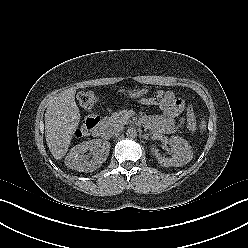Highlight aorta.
Returning <instances> with one entry per match:
<instances>
[{"label":"aorta","mask_w":248,"mask_h":248,"mask_svg":"<svg viewBox=\"0 0 248 248\" xmlns=\"http://www.w3.org/2000/svg\"><path fill=\"white\" fill-rule=\"evenodd\" d=\"M126 135L130 138H135L137 136V130L135 127L130 126L126 131Z\"/></svg>","instance_id":"aorta-1"}]
</instances>
